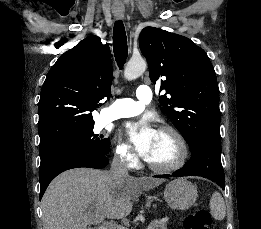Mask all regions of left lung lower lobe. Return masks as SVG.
Instances as JSON below:
<instances>
[{
  "mask_svg": "<svg viewBox=\"0 0 261 229\" xmlns=\"http://www.w3.org/2000/svg\"><path fill=\"white\" fill-rule=\"evenodd\" d=\"M192 156L184 168L172 175H157L158 178L201 176L225 187V176L221 164V141L203 139L190 149Z\"/></svg>",
  "mask_w": 261,
  "mask_h": 229,
  "instance_id": "0a47b994",
  "label": "left lung lower lobe"
}]
</instances>
